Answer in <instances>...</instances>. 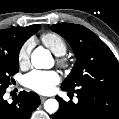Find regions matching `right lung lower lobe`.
I'll return each mask as SVG.
<instances>
[{"mask_svg":"<svg viewBox=\"0 0 119 119\" xmlns=\"http://www.w3.org/2000/svg\"><path fill=\"white\" fill-rule=\"evenodd\" d=\"M7 87H0V119H30L32 112L40 105L38 94L20 92L12 104L3 99Z\"/></svg>","mask_w":119,"mask_h":119,"instance_id":"1","label":"right lung lower lobe"}]
</instances>
